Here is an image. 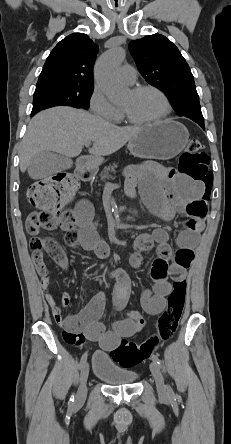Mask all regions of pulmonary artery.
<instances>
[{
	"instance_id": "pulmonary-artery-1",
	"label": "pulmonary artery",
	"mask_w": 231,
	"mask_h": 444,
	"mask_svg": "<svg viewBox=\"0 0 231 444\" xmlns=\"http://www.w3.org/2000/svg\"><path fill=\"white\" fill-rule=\"evenodd\" d=\"M119 77L124 83L132 85L137 78L136 69L130 65H124L119 70Z\"/></svg>"
}]
</instances>
